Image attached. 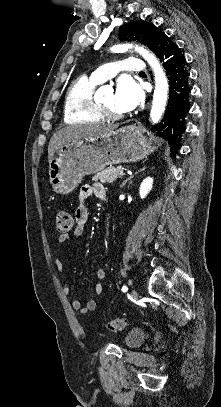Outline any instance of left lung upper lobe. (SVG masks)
<instances>
[{
	"mask_svg": "<svg viewBox=\"0 0 221 407\" xmlns=\"http://www.w3.org/2000/svg\"><path fill=\"white\" fill-rule=\"evenodd\" d=\"M164 33L154 24L144 21H134L119 28V38L121 41L138 40L147 45L156 55H158L160 41Z\"/></svg>",
	"mask_w": 221,
	"mask_h": 407,
	"instance_id": "left-lung-upper-lobe-1",
	"label": "left lung upper lobe"
}]
</instances>
